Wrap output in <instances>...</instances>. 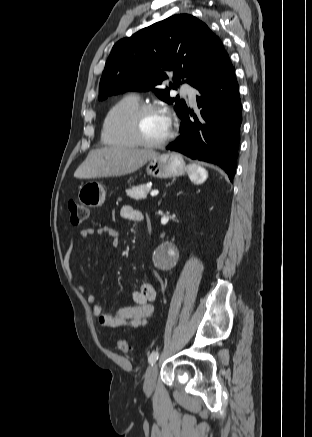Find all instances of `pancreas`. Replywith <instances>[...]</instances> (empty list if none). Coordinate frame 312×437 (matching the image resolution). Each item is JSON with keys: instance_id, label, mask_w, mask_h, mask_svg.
I'll return each mask as SVG.
<instances>
[{"instance_id": "cf45deb5", "label": "pancreas", "mask_w": 312, "mask_h": 437, "mask_svg": "<svg viewBox=\"0 0 312 437\" xmlns=\"http://www.w3.org/2000/svg\"><path fill=\"white\" fill-rule=\"evenodd\" d=\"M149 191H150V187H148L146 184H141L133 187L132 189L126 190V194L130 198H133L135 200H141L147 197Z\"/></svg>"}]
</instances>
